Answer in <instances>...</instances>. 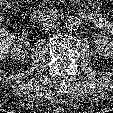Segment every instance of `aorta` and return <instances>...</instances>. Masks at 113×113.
<instances>
[{
    "label": "aorta",
    "mask_w": 113,
    "mask_h": 113,
    "mask_svg": "<svg viewBox=\"0 0 113 113\" xmlns=\"http://www.w3.org/2000/svg\"><path fill=\"white\" fill-rule=\"evenodd\" d=\"M66 26L69 30H78L81 26V20L77 16H69L66 20Z\"/></svg>",
    "instance_id": "obj_1"
}]
</instances>
